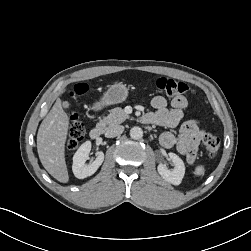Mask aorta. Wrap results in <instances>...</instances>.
Instances as JSON below:
<instances>
[{
	"instance_id": "obj_1",
	"label": "aorta",
	"mask_w": 251,
	"mask_h": 251,
	"mask_svg": "<svg viewBox=\"0 0 251 251\" xmlns=\"http://www.w3.org/2000/svg\"><path fill=\"white\" fill-rule=\"evenodd\" d=\"M130 137L134 140H139L143 137V130L140 127H133L130 130Z\"/></svg>"
}]
</instances>
